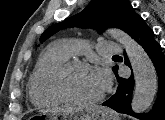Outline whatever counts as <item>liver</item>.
Returning a JSON list of instances; mask_svg holds the SVG:
<instances>
[{
  "mask_svg": "<svg viewBox=\"0 0 165 120\" xmlns=\"http://www.w3.org/2000/svg\"><path fill=\"white\" fill-rule=\"evenodd\" d=\"M52 111L53 112H63V113L68 112V113H72V112L75 111V109L74 108H70V107H66V108H55Z\"/></svg>",
  "mask_w": 165,
  "mask_h": 120,
  "instance_id": "1",
  "label": "liver"
}]
</instances>
